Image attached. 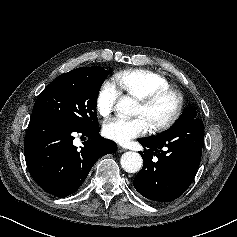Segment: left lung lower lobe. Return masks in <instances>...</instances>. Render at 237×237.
<instances>
[{"instance_id":"left-lung-lower-lobe-1","label":"left lung lower lobe","mask_w":237,"mask_h":237,"mask_svg":"<svg viewBox=\"0 0 237 237\" xmlns=\"http://www.w3.org/2000/svg\"><path fill=\"white\" fill-rule=\"evenodd\" d=\"M139 154L143 168L133 185L145 198L171 202L181 196L193 181L204 146V124L193 118L160 139L142 138Z\"/></svg>"}]
</instances>
